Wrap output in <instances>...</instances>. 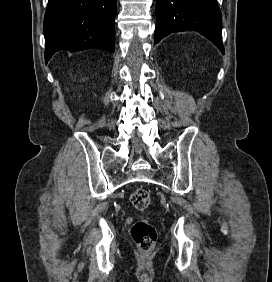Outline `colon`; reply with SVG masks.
Wrapping results in <instances>:
<instances>
[{
    "mask_svg": "<svg viewBox=\"0 0 272 282\" xmlns=\"http://www.w3.org/2000/svg\"><path fill=\"white\" fill-rule=\"evenodd\" d=\"M130 201L137 210L143 211L150 204L149 194L143 188H137L131 194ZM131 236L140 251L145 254L152 252L157 234L148 217L144 216L133 224Z\"/></svg>",
    "mask_w": 272,
    "mask_h": 282,
    "instance_id": "1",
    "label": "colon"
}]
</instances>
